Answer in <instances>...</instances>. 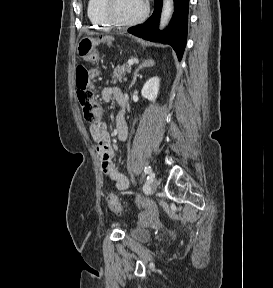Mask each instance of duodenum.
Masks as SVG:
<instances>
[{"instance_id":"1","label":"duodenum","mask_w":273,"mask_h":288,"mask_svg":"<svg viewBox=\"0 0 273 288\" xmlns=\"http://www.w3.org/2000/svg\"><path fill=\"white\" fill-rule=\"evenodd\" d=\"M120 104H121L123 107L126 105L125 98H122V99H121Z\"/></svg>"}]
</instances>
